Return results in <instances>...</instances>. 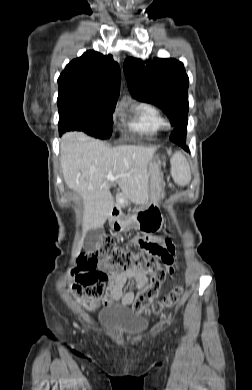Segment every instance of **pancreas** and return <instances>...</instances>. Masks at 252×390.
Here are the masks:
<instances>
[{
  "label": "pancreas",
  "mask_w": 252,
  "mask_h": 390,
  "mask_svg": "<svg viewBox=\"0 0 252 390\" xmlns=\"http://www.w3.org/2000/svg\"><path fill=\"white\" fill-rule=\"evenodd\" d=\"M120 198L121 196H118L117 197V201H118V205L119 206H131L132 205V209H135V205H136V202L135 201H120ZM128 210H131V207H128Z\"/></svg>",
  "instance_id": "1"
}]
</instances>
